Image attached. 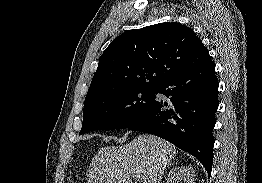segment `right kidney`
Listing matches in <instances>:
<instances>
[{
    "instance_id": "obj_1",
    "label": "right kidney",
    "mask_w": 262,
    "mask_h": 183,
    "mask_svg": "<svg viewBox=\"0 0 262 183\" xmlns=\"http://www.w3.org/2000/svg\"><path fill=\"white\" fill-rule=\"evenodd\" d=\"M166 183H193L194 181V170L191 166L175 167L170 170Z\"/></svg>"
}]
</instances>
